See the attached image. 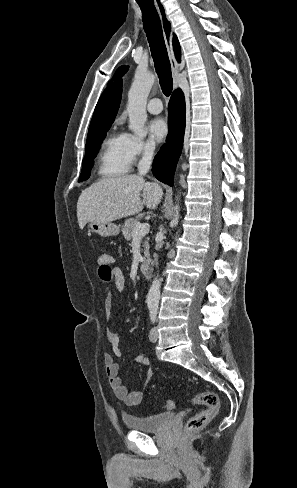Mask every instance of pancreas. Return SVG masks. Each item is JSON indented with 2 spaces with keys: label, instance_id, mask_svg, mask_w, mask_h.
Returning a JSON list of instances; mask_svg holds the SVG:
<instances>
[{
  "label": "pancreas",
  "instance_id": "cf45deb5",
  "mask_svg": "<svg viewBox=\"0 0 297 488\" xmlns=\"http://www.w3.org/2000/svg\"><path fill=\"white\" fill-rule=\"evenodd\" d=\"M139 223L137 219L135 218H129L125 221L124 225L122 226V233L124 238L127 241H130L133 238V233H134V227L135 225ZM144 256L146 258L149 257V245H148V238L144 242Z\"/></svg>",
  "mask_w": 297,
  "mask_h": 488
}]
</instances>
